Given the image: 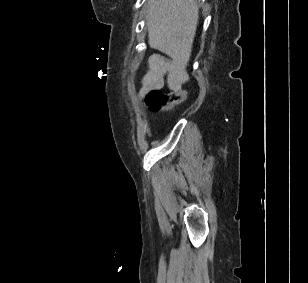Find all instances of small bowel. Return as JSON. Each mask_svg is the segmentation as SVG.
Here are the masks:
<instances>
[{
    "mask_svg": "<svg viewBox=\"0 0 308 283\" xmlns=\"http://www.w3.org/2000/svg\"><path fill=\"white\" fill-rule=\"evenodd\" d=\"M180 72L178 64L164 57H154L149 62L147 72L141 80L139 97H144L151 90H159L164 85V79L167 74L175 76Z\"/></svg>",
    "mask_w": 308,
    "mask_h": 283,
    "instance_id": "1",
    "label": "small bowel"
}]
</instances>
